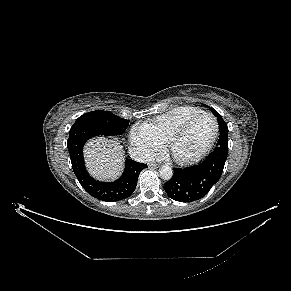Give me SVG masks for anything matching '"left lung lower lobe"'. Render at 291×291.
<instances>
[{"label": "left lung lower lobe", "instance_id": "1", "mask_svg": "<svg viewBox=\"0 0 291 291\" xmlns=\"http://www.w3.org/2000/svg\"><path fill=\"white\" fill-rule=\"evenodd\" d=\"M228 153V139L220 135L214 151L202 163L174 168L164 190L173 200L192 202L203 198L220 179Z\"/></svg>", "mask_w": 291, "mask_h": 291}]
</instances>
